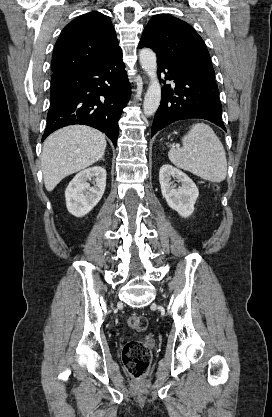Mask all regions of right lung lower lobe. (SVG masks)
I'll return each mask as SVG.
<instances>
[{
  "mask_svg": "<svg viewBox=\"0 0 272 417\" xmlns=\"http://www.w3.org/2000/svg\"><path fill=\"white\" fill-rule=\"evenodd\" d=\"M129 96L120 48L92 67L55 72L42 141L61 127L85 124L104 132L116 146L118 120Z\"/></svg>",
  "mask_w": 272,
  "mask_h": 417,
  "instance_id": "right-lung-lower-lobe-1",
  "label": "right lung lower lobe"
}]
</instances>
